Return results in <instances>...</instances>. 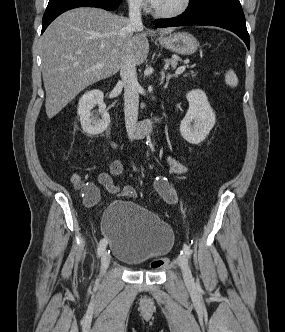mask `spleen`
I'll list each match as a JSON object with an SVG mask.
<instances>
[{"mask_svg": "<svg viewBox=\"0 0 285 332\" xmlns=\"http://www.w3.org/2000/svg\"><path fill=\"white\" fill-rule=\"evenodd\" d=\"M225 82L230 87H236L238 85V78L233 70H229L225 74Z\"/></svg>", "mask_w": 285, "mask_h": 332, "instance_id": "obj_1", "label": "spleen"}]
</instances>
